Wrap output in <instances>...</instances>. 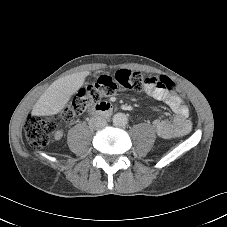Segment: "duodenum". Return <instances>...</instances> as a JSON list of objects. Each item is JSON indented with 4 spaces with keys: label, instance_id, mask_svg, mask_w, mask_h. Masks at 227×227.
<instances>
[{
    "label": "duodenum",
    "instance_id": "obj_1",
    "mask_svg": "<svg viewBox=\"0 0 227 227\" xmlns=\"http://www.w3.org/2000/svg\"><path fill=\"white\" fill-rule=\"evenodd\" d=\"M112 113V106L110 103L107 102H101L96 104L91 110V115H103L107 116Z\"/></svg>",
    "mask_w": 227,
    "mask_h": 227
}]
</instances>
